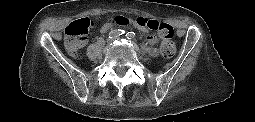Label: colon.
Wrapping results in <instances>:
<instances>
[{
  "instance_id": "5ec220e1",
  "label": "colon",
  "mask_w": 255,
  "mask_h": 122,
  "mask_svg": "<svg viewBox=\"0 0 255 122\" xmlns=\"http://www.w3.org/2000/svg\"><path fill=\"white\" fill-rule=\"evenodd\" d=\"M116 24L122 26L134 25L142 30H152L161 38L160 52L163 57L171 58L175 54L176 47L173 40V28L160 21L147 17L135 19L126 16H117L112 19ZM95 27V23L88 18H83L70 23L65 29V45L68 51L76 56L88 40V34Z\"/></svg>"
}]
</instances>
